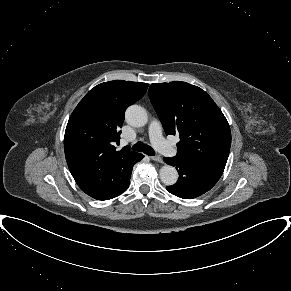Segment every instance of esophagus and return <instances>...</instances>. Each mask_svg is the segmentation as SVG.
<instances>
[{
	"instance_id": "obj_1",
	"label": "esophagus",
	"mask_w": 291,
	"mask_h": 291,
	"mask_svg": "<svg viewBox=\"0 0 291 291\" xmlns=\"http://www.w3.org/2000/svg\"><path fill=\"white\" fill-rule=\"evenodd\" d=\"M151 159L153 161H156V162H159V163L163 162V160H162V158L160 156H152Z\"/></svg>"
}]
</instances>
